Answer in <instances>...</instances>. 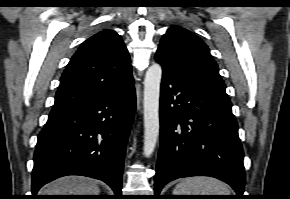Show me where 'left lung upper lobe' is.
Returning a JSON list of instances; mask_svg holds the SVG:
<instances>
[{"label": "left lung upper lobe", "instance_id": "obj_1", "mask_svg": "<svg viewBox=\"0 0 290 199\" xmlns=\"http://www.w3.org/2000/svg\"><path fill=\"white\" fill-rule=\"evenodd\" d=\"M156 57L174 73L225 92V83L209 48L187 29L170 27L161 39Z\"/></svg>", "mask_w": 290, "mask_h": 199}]
</instances>
